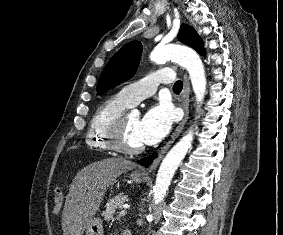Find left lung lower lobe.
Returning <instances> with one entry per match:
<instances>
[{
    "instance_id": "obj_1",
    "label": "left lung lower lobe",
    "mask_w": 283,
    "mask_h": 235,
    "mask_svg": "<svg viewBox=\"0 0 283 235\" xmlns=\"http://www.w3.org/2000/svg\"><path fill=\"white\" fill-rule=\"evenodd\" d=\"M155 154L148 156L146 158H143L141 160L138 161L139 164L141 165H146V167L148 166V164H150L152 162V158Z\"/></svg>"
}]
</instances>
